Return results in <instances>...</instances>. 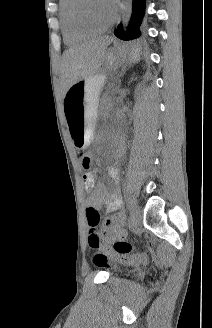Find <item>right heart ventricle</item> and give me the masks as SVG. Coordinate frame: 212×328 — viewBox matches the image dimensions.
<instances>
[{
	"label": "right heart ventricle",
	"instance_id": "1",
	"mask_svg": "<svg viewBox=\"0 0 212 328\" xmlns=\"http://www.w3.org/2000/svg\"><path fill=\"white\" fill-rule=\"evenodd\" d=\"M75 0H60V23L64 40L68 44H75L86 40L97 32L80 27L73 18L72 9Z\"/></svg>",
	"mask_w": 212,
	"mask_h": 328
}]
</instances>
